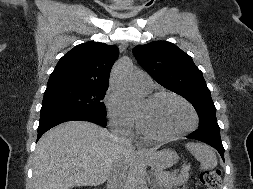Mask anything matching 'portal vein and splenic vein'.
Masks as SVG:
<instances>
[{"mask_svg":"<svg viewBox=\"0 0 253 189\" xmlns=\"http://www.w3.org/2000/svg\"><path fill=\"white\" fill-rule=\"evenodd\" d=\"M184 169H185V170H189V169H190V166H189V165H186V166H184Z\"/></svg>","mask_w":253,"mask_h":189,"instance_id":"1","label":"portal vein and splenic vein"}]
</instances>
